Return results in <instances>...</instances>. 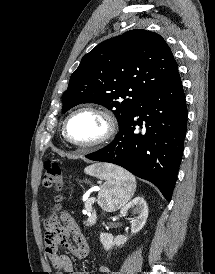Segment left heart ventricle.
<instances>
[{
	"label": "left heart ventricle",
	"mask_w": 215,
	"mask_h": 274,
	"mask_svg": "<svg viewBox=\"0 0 215 274\" xmlns=\"http://www.w3.org/2000/svg\"><path fill=\"white\" fill-rule=\"evenodd\" d=\"M105 132L103 119L92 112L76 114L68 124L69 137L78 143H88L98 139Z\"/></svg>",
	"instance_id": "1"
}]
</instances>
